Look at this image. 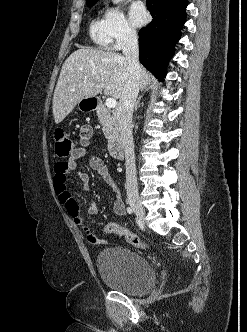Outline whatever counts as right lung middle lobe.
<instances>
[{"label":"right lung middle lobe","instance_id":"obj_1","mask_svg":"<svg viewBox=\"0 0 247 332\" xmlns=\"http://www.w3.org/2000/svg\"><path fill=\"white\" fill-rule=\"evenodd\" d=\"M93 5H94V4H87L88 7H91V6H93Z\"/></svg>","mask_w":247,"mask_h":332}]
</instances>
